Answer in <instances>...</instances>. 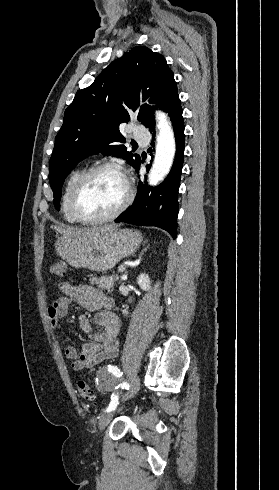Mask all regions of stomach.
I'll return each instance as SVG.
<instances>
[{
  "label": "stomach",
  "mask_w": 279,
  "mask_h": 490,
  "mask_svg": "<svg viewBox=\"0 0 279 490\" xmlns=\"http://www.w3.org/2000/svg\"><path fill=\"white\" fill-rule=\"evenodd\" d=\"M143 242L142 234L135 230H111L99 232L90 238H66L61 236L55 244V252L71 268H87L90 272H102L115 268L116 264L132 256Z\"/></svg>",
  "instance_id": "1"
}]
</instances>
